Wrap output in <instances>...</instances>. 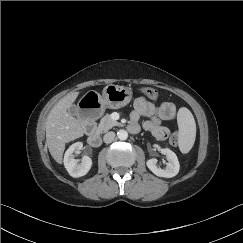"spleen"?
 Segmentation results:
<instances>
[{"label": "spleen", "mask_w": 243, "mask_h": 243, "mask_svg": "<svg viewBox=\"0 0 243 243\" xmlns=\"http://www.w3.org/2000/svg\"><path fill=\"white\" fill-rule=\"evenodd\" d=\"M177 122L179 127L178 145L183 154L188 153L195 142L196 124L194 117L189 109L182 107L177 114Z\"/></svg>", "instance_id": "3e777b00"}]
</instances>
